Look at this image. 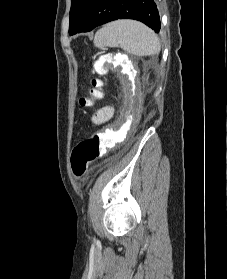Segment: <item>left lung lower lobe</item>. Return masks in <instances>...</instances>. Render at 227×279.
<instances>
[{
    "mask_svg": "<svg viewBox=\"0 0 227 279\" xmlns=\"http://www.w3.org/2000/svg\"><path fill=\"white\" fill-rule=\"evenodd\" d=\"M125 18L141 21L157 33L160 30L159 14L153 0H93L76 33L89 32L99 25Z\"/></svg>",
    "mask_w": 227,
    "mask_h": 279,
    "instance_id": "obj_1",
    "label": "left lung lower lobe"
}]
</instances>
